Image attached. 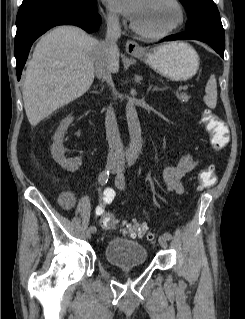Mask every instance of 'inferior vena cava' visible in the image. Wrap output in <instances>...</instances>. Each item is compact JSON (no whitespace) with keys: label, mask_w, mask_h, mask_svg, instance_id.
<instances>
[{"label":"inferior vena cava","mask_w":245,"mask_h":319,"mask_svg":"<svg viewBox=\"0 0 245 319\" xmlns=\"http://www.w3.org/2000/svg\"><path fill=\"white\" fill-rule=\"evenodd\" d=\"M106 23V37L102 42L105 57L96 69V76L102 81H106L109 85L113 86L109 62L119 56V49L116 43L121 36L118 15L115 13H109L106 18ZM105 127L106 138L109 145L108 160L110 162L124 164L123 146L120 139L115 112L112 106H110L106 111Z\"/></svg>","instance_id":"1"}]
</instances>
